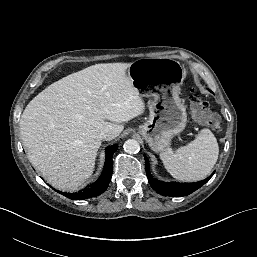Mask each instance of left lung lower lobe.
<instances>
[{"instance_id":"1","label":"left lung lower lobe","mask_w":257,"mask_h":257,"mask_svg":"<svg viewBox=\"0 0 257 257\" xmlns=\"http://www.w3.org/2000/svg\"><path fill=\"white\" fill-rule=\"evenodd\" d=\"M145 165H146V174L148 177V181L151 187L159 194L164 196H174V197H181L186 196L200 188L204 185L208 180L213 176L212 175L200 182L196 183H175V182H163L153 178L150 171H149V161L148 158L145 156Z\"/></svg>"}]
</instances>
